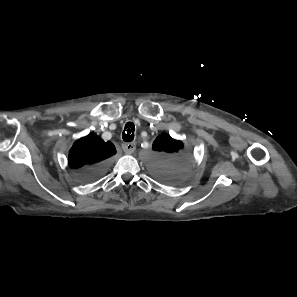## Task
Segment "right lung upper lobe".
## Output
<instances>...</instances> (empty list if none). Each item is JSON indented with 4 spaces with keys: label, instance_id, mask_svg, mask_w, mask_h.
<instances>
[{
    "label": "right lung upper lobe",
    "instance_id": "obj_1",
    "mask_svg": "<svg viewBox=\"0 0 297 297\" xmlns=\"http://www.w3.org/2000/svg\"><path fill=\"white\" fill-rule=\"evenodd\" d=\"M116 153L114 145L104 142L100 137L89 134L77 140L69 152V165L78 172L98 163L106 162V159Z\"/></svg>",
    "mask_w": 297,
    "mask_h": 297
}]
</instances>
